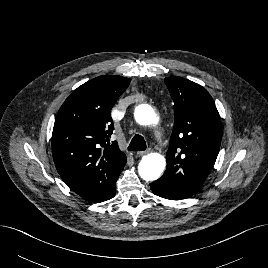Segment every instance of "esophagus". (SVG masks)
I'll return each instance as SVG.
<instances>
[{
    "label": "esophagus",
    "instance_id": "1",
    "mask_svg": "<svg viewBox=\"0 0 268 268\" xmlns=\"http://www.w3.org/2000/svg\"><path fill=\"white\" fill-rule=\"evenodd\" d=\"M151 151H152V149H151V148H148V149L145 150V151H140V152H138L137 155H138V156H144V155H146V154H149Z\"/></svg>",
    "mask_w": 268,
    "mask_h": 268
}]
</instances>
